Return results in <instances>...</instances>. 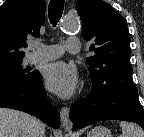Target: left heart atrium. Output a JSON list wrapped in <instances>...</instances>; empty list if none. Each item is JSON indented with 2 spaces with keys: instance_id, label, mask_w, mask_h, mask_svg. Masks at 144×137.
Returning <instances> with one entry per match:
<instances>
[{
  "instance_id": "obj_1",
  "label": "left heart atrium",
  "mask_w": 144,
  "mask_h": 137,
  "mask_svg": "<svg viewBox=\"0 0 144 137\" xmlns=\"http://www.w3.org/2000/svg\"><path fill=\"white\" fill-rule=\"evenodd\" d=\"M45 82L51 92L62 98H69L77 88V69L74 65L66 62L53 63L46 68Z\"/></svg>"
}]
</instances>
